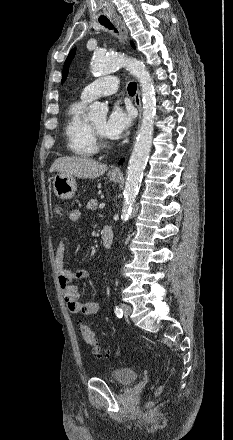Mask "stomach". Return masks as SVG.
Listing matches in <instances>:
<instances>
[{
    "label": "stomach",
    "mask_w": 233,
    "mask_h": 440,
    "mask_svg": "<svg viewBox=\"0 0 233 440\" xmlns=\"http://www.w3.org/2000/svg\"><path fill=\"white\" fill-rule=\"evenodd\" d=\"M108 177L113 182H118L120 179L119 175L108 174ZM53 191L57 197L60 199H71L76 190V180L72 175H66L58 173L53 177Z\"/></svg>",
    "instance_id": "0dacf381"
}]
</instances>
